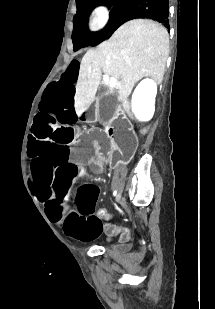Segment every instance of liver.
Wrapping results in <instances>:
<instances>
[{
	"mask_svg": "<svg viewBox=\"0 0 215 309\" xmlns=\"http://www.w3.org/2000/svg\"><path fill=\"white\" fill-rule=\"evenodd\" d=\"M169 52V36L159 22L135 18L119 26L108 40L84 54L74 96L78 116L91 106L100 84L102 72L117 78L118 100L130 118L129 94L143 76H151L161 84ZM142 134L146 128L140 130Z\"/></svg>",
	"mask_w": 215,
	"mask_h": 309,
	"instance_id": "6515ba94",
	"label": "liver"
}]
</instances>
